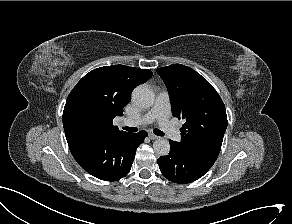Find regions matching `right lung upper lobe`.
Returning a JSON list of instances; mask_svg holds the SVG:
<instances>
[{"label": "right lung upper lobe", "instance_id": "cb5924a9", "mask_svg": "<svg viewBox=\"0 0 292 224\" xmlns=\"http://www.w3.org/2000/svg\"><path fill=\"white\" fill-rule=\"evenodd\" d=\"M148 69L105 66L86 74L70 92L63 111L66 138L124 135L113 125L129 103L132 90L149 80Z\"/></svg>", "mask_w": 292, "mask_h": 224}]
</instances>
